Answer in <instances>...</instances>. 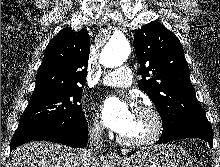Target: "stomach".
Here are the masks:
<instances>
[{
	"label": "stomach",
	"instance_id": "obj_1",
	"mask_svg": "<svg viewBox=\"0 0 220 167\" xmlns=\"http://www.w3.org/2000/svg\"><path fill=\"white\" fill-rule=\"evenodd\" d=\"M123 167H192L189 154L180 146L167 144L142 148L117 161Z\"/></svg>",
	"mask_w": 220,
	"mask_h": 167
}]
</instances>
